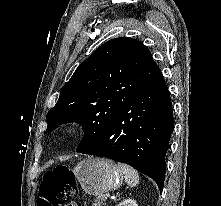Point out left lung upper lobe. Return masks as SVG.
I'll use <instances>...</instances> for the list:
<instances>
[{
    "instance_id": "left-lung-upper-lobe-1",
    "label": "left lung upper lobe",
    "mask_w": 221,
    "mask_h": 206,
    "mask_svg": "<svg viewBox=\"0 0 221 206\" xmlns=\"http://www.w3.org/2000/svg\"><path fill=\"white\" fill-rule=\"evenodd\" d=\"M160 76L141 42L129 37L112 39L81 63L62 87L46 116V133L62 123H79L84 129L79 152L96 141L127 104Z\"/></svg>"
}]
</instances>
